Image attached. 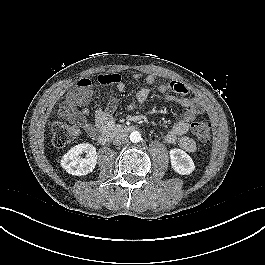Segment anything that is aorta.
I'll return each mask as SVG.
<instances>
[{"label":"aorta","mask_w":265,"mask_h":265,"mask_svg":"<svg viewBox=\"0 0 265 265\" xmlns=\"http://www.w3.org/2000/svg\"><path fill=\"white\" fill-rule=\"evenodd\" d=\"M130 140L133 143H138L141 141V133L139 131H133L130 133Z\"/></svg>","instance_id":"762f6f07"}]
</instances>
